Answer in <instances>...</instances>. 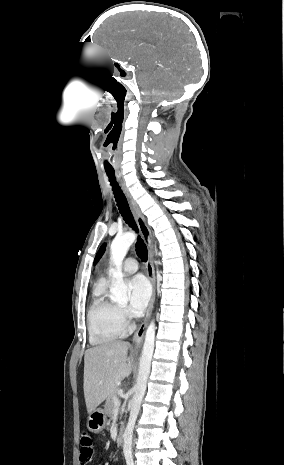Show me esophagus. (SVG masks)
<instances>
[{"instance_id": "obj_1", "label": "esophagus", "mask_w": 284, "mask_h": 465, "mask_svg": "<svg viewBox=\"0 0 284 465\" xmlns=\"http://www.w3.org/2000/svg\"><path fill=\"white\" fill-rule=\"evenodd\" d=\"M124 193L127 196V199L129 200L130 206L134 212L136 222L138 224L139 230L145 240L146 247L148 250V260L146 263V270H147V277L151 281L152 284V298L150 300L149 306L147 308V313L146 316L141 323V325L138 327L136 332L134 333L133 336V343L135 348L141 347L143 343V338H144V333L147 328V324L149 321V318L152 313L153 309V303H154V297H155V272H154V265H153V256H152V237H151V232L150 229L147 225L146 219L144 215L142 214L140 208L138 207L137 203L135 200L132 198L131 194L128 192V190L123 187Z\"/></svg>"}]
</instances>
